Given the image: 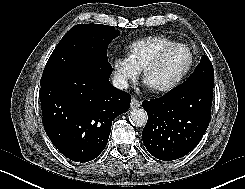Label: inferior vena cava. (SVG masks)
I'll list each match as a JSON object with an SVG mask.
<instances>
[{
    "label": "inferior vena cava",
    "instance_id": "602c4592",
    "mask_svg": "<svg viewBox=\"0 0 245 189\" xmlns=\"http://www.w3.org/2000/svg\"><path fill=\"white\" fill-rule=\"evenodd\" d=\"M112 84L114 87L120 90L128 88V82L122 76H114Z\"/></svg>",
    "mask_w": 245,
    "mask_h": 189
}]
</instances>
